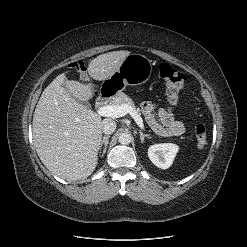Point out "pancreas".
<instances>
[{"mask_svg":"<svg viewBox=\"0 0 247 247\" xmlns=\"http://www.w3.org/2000/svg\"><path fill=\"white\" fill-rule=\"evenodd\" d=\"M111 105H122V104H128L130 106H132L137 112L138 114H140V110L137 109L135 107V104L134 102L132 101V99H130L127 95H125L124 93L120 92L118 94H116L111 102H110Z\"/></svg>","mask_w":247,"mask_h":247,"instance_id":"1","label":"pancreas"}]
</instances>
